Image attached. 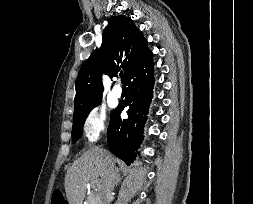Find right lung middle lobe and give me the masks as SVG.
Returning a JSON list of instances; mask_svg holds the SVG:
<instances>
[{
    "label": "right lung middle lobe",
    "instance_id": "obj_1",
    "mask_svg": "<svg viewBox=\"0 0 253 204\" xmlns=\"http://www.w3.org/2000/svg\"><path fill=\"white\" fill-rule=\"evenodd\" d=\"M101 99L95 101L94 103L76 111L73 117V127H72V138L76 142L82 135L83 125L85 119L87 118L90 111L97 105H99Z\"/></svg>",
    "mask_w": 253,
    "mask_h": 204
}]
</instances>
